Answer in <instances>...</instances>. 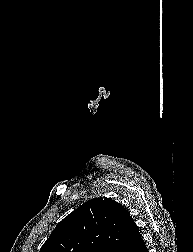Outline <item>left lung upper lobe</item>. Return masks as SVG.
<instances>
[{"instance_id":"1","label":"left lung upper lobe","mask_w":193,"mask_h":252,"mask_svg":"<svg viewBox=\"0 0 193 252\" xmlns=\"http://www.w3.org/2000/svg\"><path fill=\"white\" fill-rule=\"evenodd\" d=\"M136 229L121 204L93 198L58 223L40 252H122Z\"/></svg>"}]
</instances>
